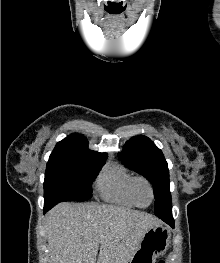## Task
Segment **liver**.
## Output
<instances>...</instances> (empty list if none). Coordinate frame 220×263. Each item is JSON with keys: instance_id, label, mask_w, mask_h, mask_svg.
I'll use <instances>...</instances> for the list:
<instances>
[{"instance_id": "1", "label": "liver", "mask_w": 220, "mask_h": 263, "mask_svg": "<svg viewBox=\"0 0 220 263\" xmlns=\"http://www.w3.org/2000/svg\"><path fill=\"white\" fill-rule=\"evenodd\" d=\"M160 225L151 214L119 206L59 203L45 218L51 263H128L144 234Z\"/></svg>"}]
</instances>
